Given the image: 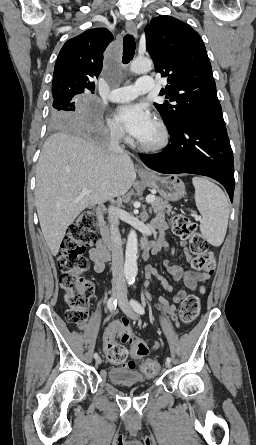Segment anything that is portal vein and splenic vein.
<instances>
[{"instance_id":"portal-vein-and-splenic-vein-1","label":"portal vein and splenic vein","mask_w":256,"mask_h":445,"mask_svg":"<svg viewBox=\"0 0 256 445\" xmlns=\"http://www.w3.org/2000/svg\"><path fill=\"white\" fill-rule=\"evenodd\" d=\"M91 193V190L90 189H86V188H84L83 190H82V192H81V196H85V195H87V194H90ZM112 202H114V200L110 197L109 198ZM154 197L153 196H149V197H147V201L148 202H153L154 201ZM151 212V211H150Z\"/></svg>"}]
</instances>
